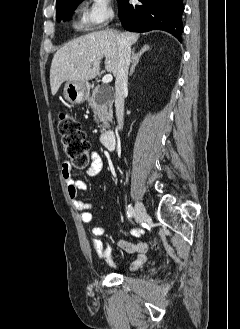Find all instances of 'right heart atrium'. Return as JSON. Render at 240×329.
Masks as SVG:
<instances>
[{
    "mask_svg": "<svg viewBox=\"0 0 240 329\" xmlns=\"http://www.w3.org/2000/svg\"><path fill=\"white\" fill-rule=\"evenodd\" d=\"M114 16L111 0H89L83 14V24L91 29L104 26Z\"/></svg>",
    "mask_w": 240,
    "mask_h": 329,
    "instance_id": "right-heart-atrium-1",
    "label": "right heart atrium"
}]
</instances>
